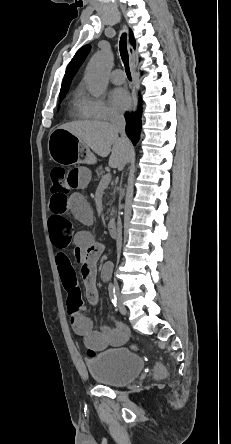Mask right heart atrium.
<instances>
[{
    "label": "right heart atrium",
    "instance_id": "obj_1",
    "mask_svg": "<svg viewBox=\"0 0 231 444\" xmlns=\"http://www.w3.org/2000/svg\"><path fill=\"white\" fill-rule=\"evenodd\" d=\"M82 109L89 118L109 120L119 117V113L102 97L84 95L81 98Z\"/></svg>",
    "mask_w": 231,
    "mask_h": 444
}]
</instances>
